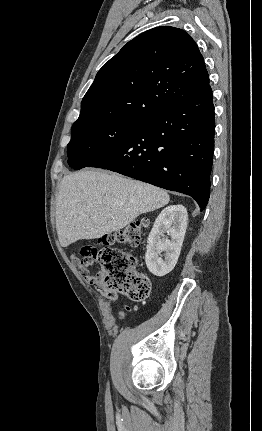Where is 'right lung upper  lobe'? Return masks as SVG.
<instances>
[{
	"label": "right lung upper lobe",
	"mask_w": 262,
	"mask_h": 431,
	"mask_svg": "<svg viewBox=\"0 0 262 431\" xmlns=\"http://www.w3.org/2000/svg\"><path fill=\"white\" fill-rule=\"evenodd\" d=\"M208 86L209 76L195 41L181 29L156 27L129 41L99 70L73 125L144 119Z\"/></svg>",
	"instance_id": "1"
}]
</instances>
